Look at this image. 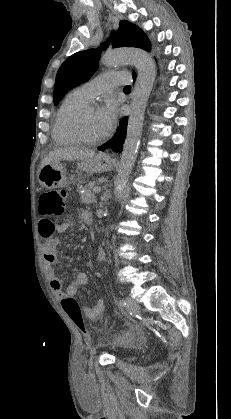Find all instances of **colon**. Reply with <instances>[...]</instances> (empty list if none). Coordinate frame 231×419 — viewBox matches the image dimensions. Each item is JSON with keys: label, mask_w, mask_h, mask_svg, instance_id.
I'll return each instance as SVG.
<instances>
[{"label": "colon", "mask_w": 231, "mask_h": 419, "mask_svg": "<svg viewBox=\"0 0 231 419\" xmlns=\"http://www.w3.org/2000/svg\"><path fill=\"white\" fill-rule=\"evenodd\" d=\"M66 191L64 189H52L40 196L39 210L42 214L59 217L64 214L66 209ZM64 311L68 314L74 324L80 329L86 339L90 338L89 332L85 326L81 309L73 297H65L62 302ZM117 346L124 343V338H119L114 342Z\"/></svg>", "instance_id": "colon-1"}]
</instances>
